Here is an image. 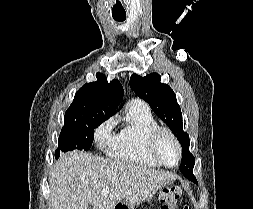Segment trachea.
Wrapping results in <instances>:
<instances>
[{"label": "trachea", "instance_id": "3493384b", "mask_svg": "<svg viewBox=\"0 0 253 209\" xmlns=\"http://www.w3.org/2000/svg\"><path fill=\"white\" fill-rule=\"evenodd\" d=\"M116 21H119V22H123L125 21L126 17L125 16H121V17H113Z\"/></svg>", "mask_w": 253, "mask_h": 209}]
</instances>
